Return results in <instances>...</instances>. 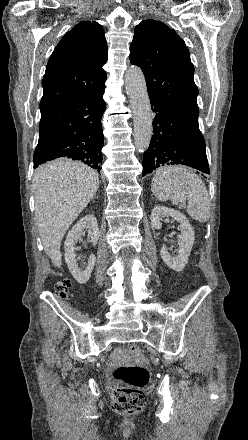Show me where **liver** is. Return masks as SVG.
<instances>
[{
	"label": "liver",
	"mask_w": 248,
	"mask_h": 440,
	"mask_svg": "<svg viewBox=\"0 0 248 440\" xmlns=\"http://www.w3.org/2000/svg\"><path fill=\"white\" fill-rule=\"evenodd\" d=\"M98 187L97 172L82 162L62 158L41 165L35 171L36 223L45 253L55 267L62 265L60 246L67 229Z\"/></svg>",
	"instance_id": "6515ba94"
}]
</instances>
